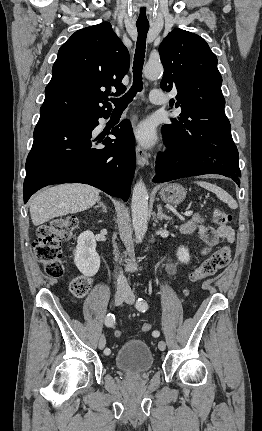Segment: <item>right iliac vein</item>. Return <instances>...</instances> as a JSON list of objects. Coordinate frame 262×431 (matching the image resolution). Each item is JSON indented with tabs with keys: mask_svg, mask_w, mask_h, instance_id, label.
Instances as JSON below:
<instances>
[{
	"mask_svg": "<svg viewBox=\"0 0 262 431\" xmlns=\"http://www.w3.org/2000/svg\"><path fill=\"white\" fill-rule=\"evenodd\" d=\"M126 297H127V293L118 290L115 294V305H117V306L120 305L126 299ZM105 346H106V339L102 335L99 338L98 347L100 350H103L105 348Z\"/></svg>",
	"mask_w": 262,
	"mask_h": 431,
	"instance_id": "right-iliac-vein-1",
	"label": "right iliac vein"
}]
</instances>
